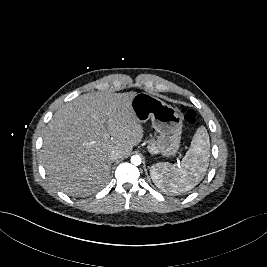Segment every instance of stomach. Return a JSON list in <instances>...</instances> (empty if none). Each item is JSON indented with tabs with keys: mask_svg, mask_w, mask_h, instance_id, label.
Segmentation results:
<instances>
[{
	"mask_svg": "<svg viewBox=\"0 0 267 267\" xmlns=\"http://www.w3.org/2000/svg\"><path fill=\"white\" fill-rule=\"evenodd\" d=\"M131 109L140 123L151 121L159 133L157 150L163 157L175 155L180 147L183 122L170 105L147 93H137L131 100Z\"/></svg>",
	"mask_w": 267,
	"mask_h": 267,
	"instance_id": "1",
	"label": "stomach"
}]
</instances>
